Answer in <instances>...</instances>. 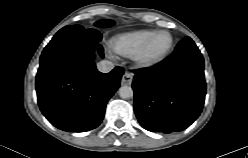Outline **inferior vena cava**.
<instances>
[{
    "instance_id": "1",
    "label": "inferior vena cava",
    "mask_w": 248,
    "mask_h": 158,
    "mask_svg": "<svg viewBox=\"0 0 248 158\" xmlns=\"http://www.w3.org/2000/svg\"><path fill=\"white\" fill-rule=\"evenodd\" d=\"M114 64L108 60H102L98 63L97 69L102 73H108L113 70Z\"/></svg>"
}]
</instances>
